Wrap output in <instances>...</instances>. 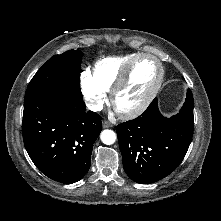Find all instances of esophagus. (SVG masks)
Here are the masks:
<instances>
[{"label":"esophagus","mask_w":221,"mask_h":221,"mask_svg":"<svg viewBox=\"0 0 221 221\" xmlns=\"http://www.w3.org/2000/svg\"><path fill=\"white\" fill-rule=\"evenodd\" d=\"M112 126V124L109 122V121H107V120H104L103 122H102V127L103 128H109V127H111Z\"/></svg>","instance_id":"1"}]
</instances>
